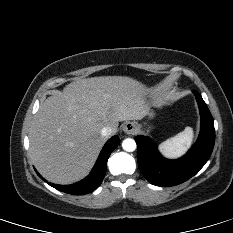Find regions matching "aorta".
I'll list each match as a JSON object with an SVG mask.
<instances>
[{
    "label": "aorta",
    "instance_id": "1",
    "mask_svg": "<svg viewBox=\"0 0 233 233\" xmlns=\"http://www.w3.org/2000/svg\"><path fill=\"white\" fill-rule=\"evenodd\" d=\"M122 147L127 152H133L136 149L137 145L134 139L126 138L122 142Z\"/></svg>",
    "mask_w": 233,
    "mask_h": 233
}]
</instances>
